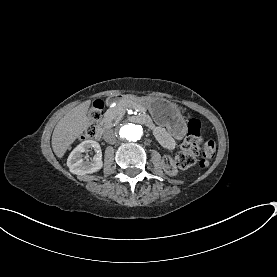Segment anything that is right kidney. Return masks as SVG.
<instances>
[{"mask_svg": "<svg viewBox=\"0 0 277 277\" xmlns=\"http://www.w3.org/2000/svg\"><path fill=\"white\" fill-rule=\"evenodd\" d=\"M90 149H95L97 154L89 160L84 153ZM84 157V159H83ZM67 166L70 173L74 175H87L100 171L104 164L102 155L99 153V144L93 140H87L78 145L69 155Z\"/></svg>", "mask_w": 277, "mask_h": 277, "instance_id": "ca27d5eb", "label": "right kidney"}]
</instances>
